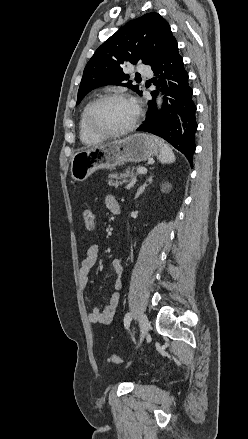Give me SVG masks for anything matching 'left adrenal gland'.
I'll return each instance as SVG.
<instances>
[{"label": "left adrenal gland", "mask_w": 248, "mask_h": 439, "mask_svg": "<svg viewBox=\"0 0 248 439\" xmlns=\"http://www.w3.org/2000/svg\"><path fill=\"white\" fill-rule=\"evenodd\" d=\"M153 180V176L148 177V179L146 180V182L137 190V193L135 195V199L138 198L140 196V194H142L145 190V188L152 183Z\"/></svg>", "instance_id": "obj_1"}]
</instances>
